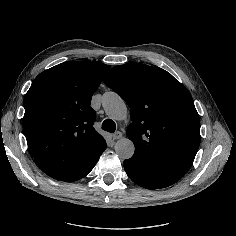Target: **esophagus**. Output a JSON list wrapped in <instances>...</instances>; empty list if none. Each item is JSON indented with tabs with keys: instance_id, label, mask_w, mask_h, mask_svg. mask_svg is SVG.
Listing matches in <instances>:
<instances>
[{
	"instance_id": "34e87169",
	"label": "esophagus",
	"mask_w": 236,
	"mask_h": 236,
	"mask_svg": "<svg viewBox=\"0 0 236 236\" xmlns=\"http://www.w3.org/2000/svg\"><path fill=\"white\" fill-rule=\"evenodd\" d=\"M122 132H116L113 134V139L116 140V139H120L122 137Z\"/></svg>"
}]
</instances>
